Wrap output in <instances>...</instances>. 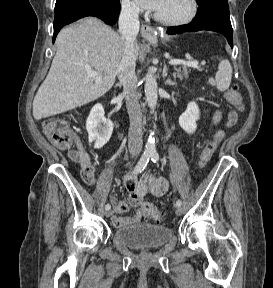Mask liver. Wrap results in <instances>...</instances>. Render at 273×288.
Returning a JSON list of instances; mask_svg holds the SVG:
<instances>
[{
	"label": "liver",
	"instance_id": "1",
	"mask_svg": "<svg viewBox=\"0 0 273 288\" xmlns=\"http://www.w3.org/2000/svg\"><path fill=\"white\" fill-rule=\"evenodd\" d=\"M56 48L49 73L34 97L35 120L81 107L105 95L118 75L125 41L101 20L88 17L63 28ZM139 51L135 43V60ZM91 71L101 75V82L89 76Z\"/></svg>",
	"mask_w": 273,
	"mask_h": 288
}]
</instances>
